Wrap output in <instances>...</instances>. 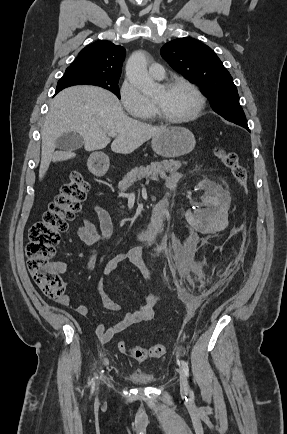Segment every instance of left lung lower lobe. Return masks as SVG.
I'll list each match as a JSON object with an SVG mask.
<instances>
[{"instance_id":"1","label":"left lung lower lobe","mask_w":287,"mask_h":434,"mask_svg":"<svg viewBox=\"0 0 287 434\" xmlns=\"http://www.w3.org/2000/svg\"><path fill=\"white\" fill-rule=\"evenodd\" d=\"M227 120L231 121V122H233L235 124H238V125L246 128L248 131H250L249 128H248V124L246 122V118H228Z\"/></svg>"}]
</instances>
